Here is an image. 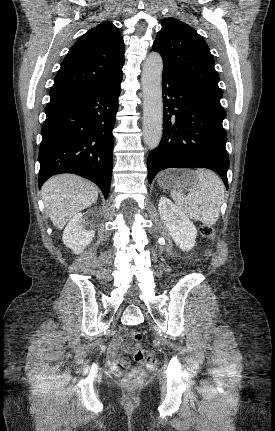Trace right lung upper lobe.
<instances>
[{
    "label": "right lung upper lobe",
    "mask_w": 275,
    "mask_h": 431,
    "mask_svg": "<svg viewBox=\"0 0 275 431\" xmlns=\"http://www.w3.org/2000/svg\"><path fill=\"white\" fill-rule=\"evenodd\" d=\"M124 42L106 21L87 31L71 47L59 69L50 97L109 86L123 76Z\"/></svg>",
    "instance_id": "1"
}]
</instances>
